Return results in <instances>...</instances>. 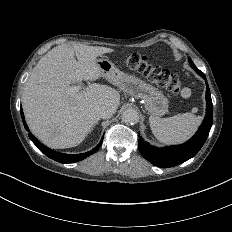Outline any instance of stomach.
I'll use <instances>...</instances> for the list:
<instances>
[{
	"label": "stomach",
	"instance_id": "stomach-1",
	"mask_svg": "<svg viewBox=\"0 0 232 232\" xmlns=\"http://www.w3.org/2000/svg\"><path fill=\"white\" fill-rule=\"evenodd\" d=\"M101 76L134 98H140L152 116H162L168 111V99L163 93L141 79L120 71L108 58L96 59Z\"/></svg>",
	"mask_w": 232,
	"mask_h": 232
}]
</instances>
